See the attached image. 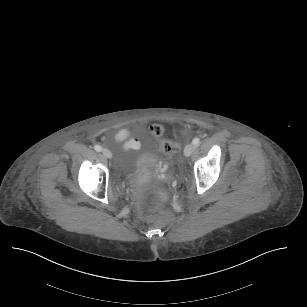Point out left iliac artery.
<instances>
[{
  "instance_id": "1",
  "label": "left iliac artery",
  "mask_w": 307,
  "mask_h": 307,
  "mask_svg": "<svg viewBox=\"0 0 307 307\" xmlns=\"http://www.w3.org/2000/svg\"><path fill=\"white\" fill-rule=\"evenodd\" d=\"M193 145H199L200 144V139L199 138H194L192 141Z\"/></svg>"
}]
</instances>
